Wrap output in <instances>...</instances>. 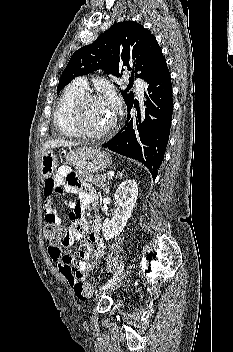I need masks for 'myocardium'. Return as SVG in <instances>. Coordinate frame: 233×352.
Listing matches in <instances>:
<instances>
[{
    "mask_svg": "<svg viewBox=\"0 0 233 352\" xmlns=\"http://www.w3.org/2000/svg\"><path fill=\"white\" fill-rule=\"evenodd\" d=\"M94 100H101L99 95L93 93H85L82 95L74 104L72 112H71V123L76 131V133L85 138H102L110 134L116 127L117 124V116L114 115L112 123L104 130L101 131H90L87 130L82 123V113L84 106Z\"/></svg>",
    "mask_w": 233,
    "mask_h": 352,
    "instance_id": "1",
    "label": "myocardium"
}]
</instances>
